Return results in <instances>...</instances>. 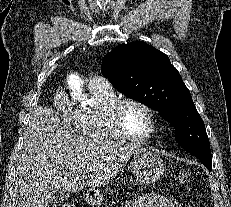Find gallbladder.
Instances as JSON below:
<instances>
[{
	"label": "gallbladder",
	"instance_id": "gallbladder-1",
	"mask_svg": "<svg viewBox=\"0 0 231 207\" xmlns=\"http://www.w3.org/2000/svg\"><path fill=\"white\" fill-rule=\"evenodd\" d=\"M68 198L69 194L65 193L63 190H59L49 199V204L59 206L62 205L64 201L68 200Z\"/></svg>",
	"mask_w": 231,
	"mask_h": 207
}]
</instances>
